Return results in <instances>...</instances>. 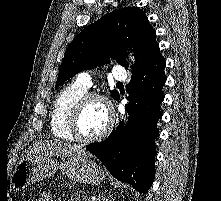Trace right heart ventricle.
<instances>
[{"mask_svg": "<svg viewBox=\"0 0 221 201\" xmlns=\"http://www.w3.org/2000/svg\"><path fill=\"white\" fill-rule=\"evenodd\" d=\"M87 92L76 82L65 87L54 101L50 127L51 131L59 139L74 140L69 131V117L74 104Z\"/></svg>", "mask_w": 221, "mask_h": 201, "instance_id": "e07e8e85", "label": "right heart ventricle"}]
</instances>
